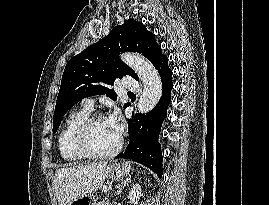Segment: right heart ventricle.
Segmentation results:
<instances>
[{"label": "right heart ventricle", "mask_w": 269, "mask_h": 205, "mask_svg": "<svg viewBox=\"0 0 269 205\" xmlns=\"http://www.w3.org/2000/svg\"><path fill=\"white\" fill-rule=\"evenodd\" d=\"M90 116V111L81 108L68 115L58 136L59 152L63 160L71 163L85 160L76 146V134L82 123Z\"/></svg>", "instance_id": "obj_1"}]
</instances>
